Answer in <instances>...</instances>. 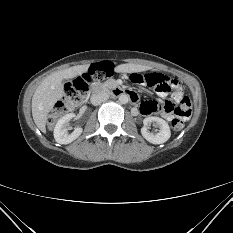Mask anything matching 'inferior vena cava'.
<instances>
[{
    "label": "inferior vena cava",
    "instance_id": "inferior-vena-cava-1",
    "mask_svg": "<svg viewBox=\"0 0 233 233\" xmlns=\"http://www.w3.org/2000/svg\"><path fill=\"white\" fill-rule=\"evenodd\" d=\"M108 98H109V95H108V93H106V92H101V93H98V94H93L92 96H91V103L93 104V105H99V104H101L102 102H104V101H106V100H108Z\"/></svg>",
    "mask_w": 233,
    "mask_h": 233
}]
</instances>
